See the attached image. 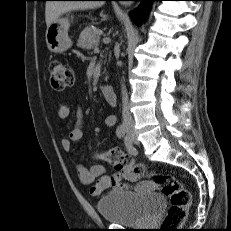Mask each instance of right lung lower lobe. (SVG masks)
<instances>
[{
  "mask_svg": "<svg viewBox=\"0 0 231 231\" xmlns=\"http://www.w3.org/2000/svg\"><path fill=\"white\" fill-rule=\"evenodd\" d=\"M137 1H141V5L130 13V17L135 24L139 25L141 21L144 19L145 13L147 11V6L152 1L155 0H137Z\"/></svg>",
  "mask_w": 231,
  "mask_h": 231,
  "instance_id": "98d812e1",
  "label": "right lung lower lobe"
}]
</instances>
